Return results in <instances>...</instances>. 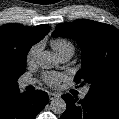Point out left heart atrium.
<instances>
[{
	"label": "left heart atrium",
	"mask_w": 119,
	"mask_h": 119,
	"mask_svg": "<svg viewBox=\"0 0 119 119\" xmlns=\"http://www.w3.org/2000/svg\"><path fill=\"white\" fill-rule=\"evenodd\" d=\"M64 79L65 75L53 72H47L43 76V80L50 86H56Z\"/></svg>",
	"instance_id": "obj_1"
}]
</instances>
